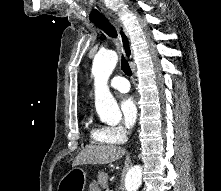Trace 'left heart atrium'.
Instances as JSON below:
<instances>
[{"instance_id": "39dd6f15", "label": "left heart atrium", "mask_w": 221, "mask_h": 191, "mask_svg": "<svg viewBox=\"0 0 221 191\" xmlns=\"http://www.w3.org/2000/svg\"><path fill=\"white\" fill-rule=\"evenodd\" d=\"M123 121L127 128H132L138 117V108L136 99L133 96H126L120 103Z\"/></svg>"}]
</instances>
